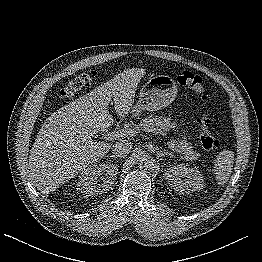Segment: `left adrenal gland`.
Segmentation results:
<instances>
[{"label": "left adrenal gland", "mask_w": 262, "mask_h": 262, "mask_svg": "<svg viewBox=\"0 0 262 262\" xmlns=\"http://www.w3.org/2000/svg\"><path fill=\"white\" fill-rule=\"evenodd\" d=\"M159 155H160V157H163V156H170V157H172L173 156V154L172 153H169V152H167V151H161L160 150V152H159Z\"/></svg>", "instance_id": "left-adrenal-gland-1"}]
</instances>
